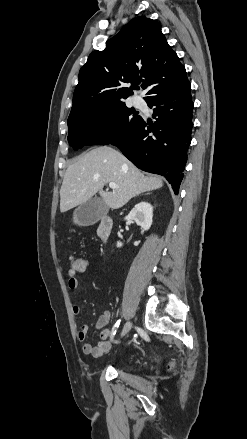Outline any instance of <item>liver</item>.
I'll return each mask as SVG.
<instances>
[{
    "mask_svg": "<svg viewBox=\"0 0 247 439\" xmlns=\"http://www.w3.org/2000/svg\"><path fill=\"white\" fill-rule=\"evenodd\" d=\"M114 182L118 188L105 192V184ZM163 186L160 177L145 176L119 151L98 147L70 164L60 190L62 213L88 201L99 193L111 209L124 206L131 198Z\"/></svg>",
    "mask_w": 247,
    "mask_h": 439,
    "instance_id": "liver-1",
    "label": "liver"
}]
</instances>
